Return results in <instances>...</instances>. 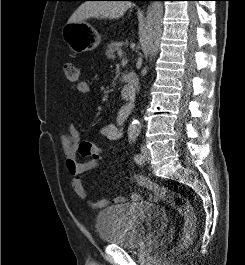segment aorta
<instances>
[{
    "instance_id": "1",
    "label": "aorta",
    "mask_w": 245,
    "mask_h": 265,
    "mask_svg": "<svg viewBox=\"0 0 245 265\" xmlns=\"http://www.w3.org/2000/svg\"><path fill=\"white\" fill-rule=\"evenodd\" d=\"M164 8L161 1H154L150 4L147 11V17L144 28V43L150 60L158 54L162 35V19ZM140 122L133 119L129 125L131 132H139Z\"/></svg>"
}]
</instances>
